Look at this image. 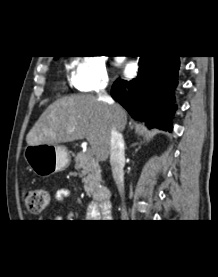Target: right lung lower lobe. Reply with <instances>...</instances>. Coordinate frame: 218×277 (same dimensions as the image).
I'll use <instances>...</instances> for the list:
<instances>
[{
	"label": "right lung lower lobe",
	"instance_id": "right-lung-lower-lobe-1",
	"mask_svg": "<svg viewBox=\"0 0 218 277\" xmlns=\"http://www.w3.org/2000/svg\"><path fill=\"white\" fill-rule=\"evenodd\" d=\"M139 65L137 78L131 81L117 79L111 95L136 120L171 131V119L176 109L173 102L179 56H140Z\"/></svg>",
	"mask_w": 218,
	"mask_h": 277
}]
</instances>
